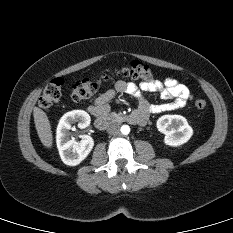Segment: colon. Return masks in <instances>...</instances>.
<instances>
[{"instance_id":"obj_1","label":"colon","mask_w":233,"mask_h":233,"mask_svg":"<svg viewBox=\"0 0 233 233\" xmlns=\"http://www.w3.org/2000/svg\"><path fill=\"white\" fill-rule=\"evenodd\" d=\"M112 76L127 77L145 82L152 81L153 73L148 65L136 60L130 61L123 67L115 70L111 75L102 76L97 80L84 78L75 82L70 88L69 96L74 101L88 99L95 94L103 81L108 80ZM63 85L64 80L61 78H56L48 83L39 98L40 107L44 110H50L61 99ZM195 106L198 109H203L206 106V102L203 99H198L195 102Z\"/></svg>"}]
</instances>
